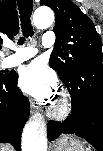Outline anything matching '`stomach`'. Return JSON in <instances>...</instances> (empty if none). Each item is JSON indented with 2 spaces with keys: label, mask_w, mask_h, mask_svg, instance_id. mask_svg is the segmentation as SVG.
Wrapping results in <instances>:
<instances>
[{
  "label": "stomach",
  "mask_w": 103,
  "mask_h": 151,
  "mask_svg": "<svg viewBox=\"0 0 103 151\" xmlns=\"http://www.w3.org/2000/svg\"><path fill=\"white\" fill-rule=\"evenodd\" d=\"M52 151H85V148L79 139L63 135L53 144Z\"/></svg>",
  "instance_id": "obj_1"
}]
</instances>
